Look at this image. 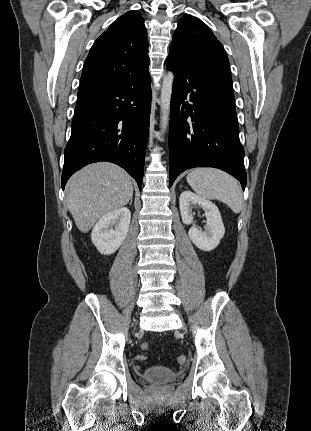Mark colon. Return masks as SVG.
<instances>
[{"mask_svg": "<svg viewBox=\"0 0 311 431\" xmlns=\"http://www.w3.org/2000/svg\"><path fill=\"white\" fill-rule=\"evenodd\" d=\"M148 348H149V345L147 343L141 344L142 350H147ZM136 359L139 361H145L147 359V357L143 354H139V355H137ZM176 362L179 365H184L186 363V358L184 356H179V357H177Z\"/></svg>", "mask_w": 311, "mask_h": 431, "instance_id": "colon-1", "label": "colon"}]
</instances>
